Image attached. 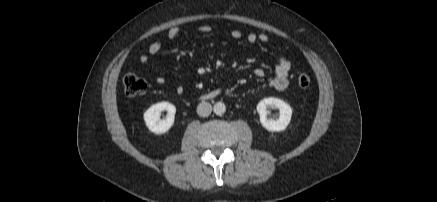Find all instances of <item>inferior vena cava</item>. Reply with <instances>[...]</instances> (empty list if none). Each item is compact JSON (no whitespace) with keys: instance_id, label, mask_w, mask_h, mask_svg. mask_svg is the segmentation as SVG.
Instances as JSON below:
<instances>
[{"instance_id":"602c4592","label":"inferior vena cava","mask_w":437,"mask_h":202,"mask_svg":"<svg viewBox=\"0 0 437 202\" xmlns=\"http://www.w3.org/2000/svg\"><path fill=\"white\" fill-rule=\"evenodd\" d=\"M212 112V106L209 102L202 101L197 106V114L201 117H207Z\"/></svg>"}]
</instances>
